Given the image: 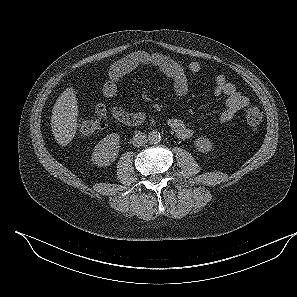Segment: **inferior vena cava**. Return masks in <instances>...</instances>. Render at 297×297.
<instances>
[{"label": "inferior vena cava", "instance_id": "602c4592", "mask_svg": "<svg viewBox=\"0 0 297 297\" xmlns=\"http://www.w3.org/2000/svg\"><path fill=\"white\" fill-rule=\"evenodd\" d=\"M148 142V137L145 133L137 132L132 138V143L135 147L144 146Z\"/></svg>", "mask_w": 297, "mask_h": 297}]
</instances>
